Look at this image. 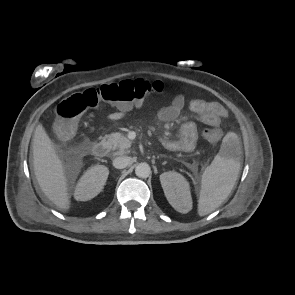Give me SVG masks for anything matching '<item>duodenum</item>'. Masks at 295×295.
I'll use <instances>...</instances> for the list:
<instances>
[{
    "label": "duodenum",
    "instance_id": "410a0bca",
    "mask_svg": "<svg viewBox=\"0 0 295 295\" xmlns=\"http://www.w3.org/2000/svg\"><path fill=\"white\" fill-rule=\"evenodd\" d=\"M83 150L85 152H90L97 157H104L108 153L109 148L106 142L99 141L85 144Z\"/></svg>",
    "mask_w": 295,
    "mask_h": 295
}]
</instances>
